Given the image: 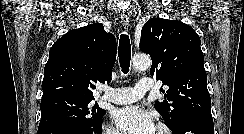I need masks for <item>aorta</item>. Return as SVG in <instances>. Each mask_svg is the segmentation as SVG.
Segmentation results:
<instances>
[{
  "label": "aorta",
  "instance_id": "aorta-1",
  "mask_svg": "<svg viewBox=\"0 0 244 134\" xmlns=\"http://www.w3.org/2000/svg\"><path fill=\"white\" fill-rule=\"evenodd\" d=\"M132 63L136 70H146L151 66V59L147 55H136L133 57Z\"/></svg>",
  "mask_w": 244,
  "mask_h": 134
}]
</instances>
